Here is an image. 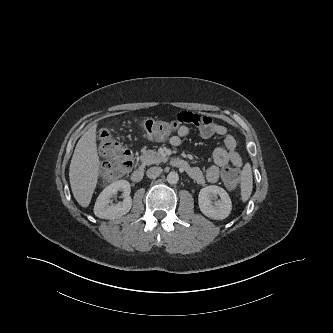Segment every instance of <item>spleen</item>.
Listing matches in <instances>:
<instances>
[{
  "mask_svg": "<svg viewBox=\"0 0 333 333\" xmlns=\"http://www.w3.org/2000/svg\"><path fill=\"white\" fill-rule=\"evenodd\" d=\"M253 188V178L250 165H245L242 172V181H241V199L243 202H246L252 192Z\"/></svg>",
  "mask_w": 333,
  "mask_h": 333,
  "instance_id": "3e777b00",
  "label": "spleen"
}]
</instances>
